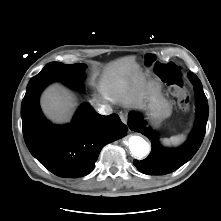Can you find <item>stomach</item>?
Returning <instances> with one entry per match:
<instances>
[{"instance_id": "0dacf381", "label": "stomach", "mask_w": 221, "mask_h": 221, "mask_svg": "<svg viewBox=\"0 0 221 221\" xmlns=\"http://www.w3.org/2000/svg\"><path fill=\"white\" fill-rule=\"evenodd\" d=\"M142 108L147 111L154 125H158L163 119L170 116L172 112L171 104L163 97L157 84L152 87Z\"/></svg>"}]
</instances>
